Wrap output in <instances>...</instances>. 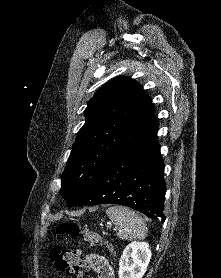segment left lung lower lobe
<instances>
[{
	"label": "left lung lower lobe",
	"instance_id": "left-lung-lower-lobe-1",
	"mask_svg": "<svg viewBox=\"0 0 221 278\" xmlns=\"http://www.w3.org/2000/svg\"><path fill=\"white\" fill-rule=\"evenodd\" d=\"M157 130L158 122L121 150L75 206L119 204L164 222L166 185Z\"/></svg>",
	"mask_w": 221,
	"mask_h": 278
}]
</instances>
